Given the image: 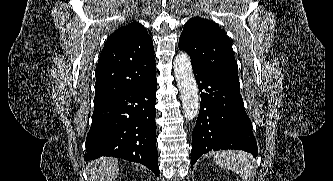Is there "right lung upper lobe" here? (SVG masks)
I'll use <instances>...</instances> for the list:
<instances>
[{
    "label": "right lung upper lobe",
    "mask_w": 333,
    "mask_h": 181,
    "mask_svg": "<svg viewBox=\"0 0 333 181\" xmlns=\"http://www.w3.org/2000/svg\"><path fill=\"white\" fill-rule=\"evenodd\" d=\"M154 48L144 27L133 22L107 39L96 67L94 107L156 79Z\"/></svg>",
    "instance_id": "1"
}]
</instances>
